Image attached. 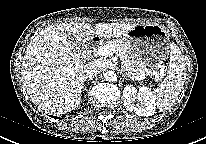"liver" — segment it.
Segmentation results:
<instances>
[{"instance_id":"1","label":"liver","mask_w":206,"mask_h":144,"mask_svg":"<svg viewBox=\"0 0 206 144\" xmlns=\"http://www.w3.org/2000/svg\"><path fill=\"white\" fill-rule=\"evenodd\" d=\"M135 24L99 23L95 29L89 23L49 25L28 45L21 75L32 101L54 114L71 112L81 102L87 65L68 41L85 44L92 36L118 38L126 35Z\"/></svg>"}]
</instances>
